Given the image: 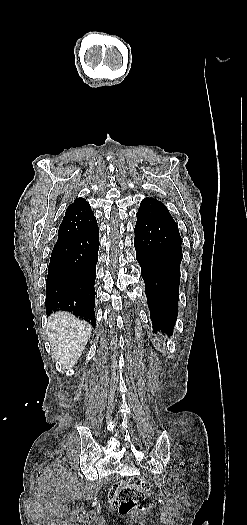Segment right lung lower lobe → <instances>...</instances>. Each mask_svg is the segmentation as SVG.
Segmentation results:
<instances>
[{"label":"right lung lower lobe","mask_w":247,"mask_h":525,"mask_svg":"<svg viewBox=\"0 0 247 525\" xmlns=\"http://www.w3.org/2000/svg\"><path fill=\"white\" fill-rule=\"evenodd\" d=\"M98 233L96 223L84 233L54 246L46 280L47 315L69 311L95 327Z\"/></svg>","instance_id":"obj_1"}]
</instances>
